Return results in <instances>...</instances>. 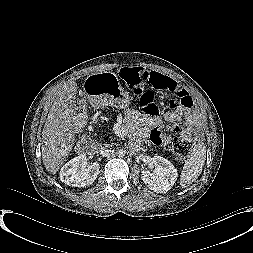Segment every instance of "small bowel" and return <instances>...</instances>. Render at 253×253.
Returning <instances> with one entry per match:
<instances>
[{
    "instance_id": "small-bowel-1",
    "label": "small bowel",
    "mask_w": 253,
    "mask_h": 253,
    "mask_svg": "<svg viewBox=\"0 0 253 253\" xmlns=\"http://www.w3.org/2000/svg\"><path fill=\"white\" fill-rule=\"evenodd\" d=\"M161 77H163L170 86L180 89L177 81L174 79L162 75L157 72H153ZM186 93V92H185ZM125 119L129 123V125L133 128V130L138 134H148L151 141L156 145H168L171 141L170 137L164 135L161 132L162 129V120L159 118H151L145 115H141L135 111H129L125 114ZM163 119L166 122H169L174 125V130L177 133H183L184 128L180 127L178 124L180 121L185 120L187 125V131L191 130V128L196 127L198 125V115L196 112L189 109H179L176 111H168L163 115Z\"/></svg>"
}]
</instances>
